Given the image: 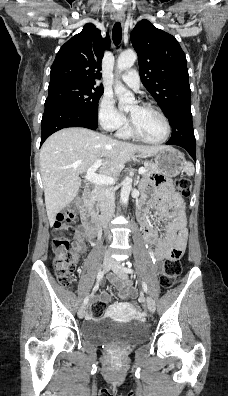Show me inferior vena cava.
Returning a JSON list of instances; mask_svg holds the SVG:
<instances>
[{
    "label": "inferior vena cava",
    "mask_w": 228,
    "mask_h": 396,
    "mask_svg": "<svg viewBox=\"0 0 228 396\" xmlns=\"http://www.w3.org/2000/svg\"><path fill=\"white\" fill-rule=\"evenodd\" d=\"M99 199L101 203L102 220H103L104 228H106L107 223L114 216V211H115L114 194L111 192L110 189H104L100 191ZM108 239L109 240L111 239L109 235H108Z\"/></svg>",
    "instance_id": "inferior-vena-cava-1"
}]
</instances>
